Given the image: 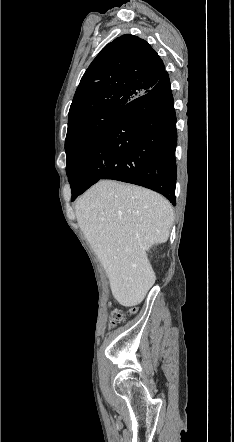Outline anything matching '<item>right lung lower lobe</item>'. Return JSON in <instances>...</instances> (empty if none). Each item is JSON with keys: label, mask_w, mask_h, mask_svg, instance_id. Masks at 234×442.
Returning <instances> with one entry per match:
<instances>
[{"label": "right lung lower lobe", "mask_w": 234, "mask_h": 442, "mask_svg": "<svg viewBox=\"0 0 234 442\" xmlns=\"http://www.w3.org/2000/svg\"><path fill=\"white\" fill-rule=\"evenodd\" d=\"M176 114L168 73L122 106L99 141L71 172V200L100 179L161 193L175 205Z\"/></svg>", "instance_id": "obj_1"}]
</instances>
